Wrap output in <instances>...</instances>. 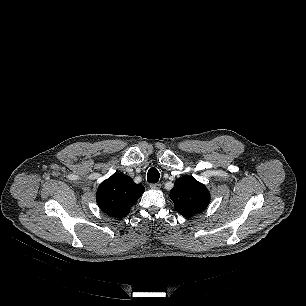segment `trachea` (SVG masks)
Segmentation results:
<instances>
[{
  "mask_svg": "<svg viewBox=\"0 0 306 306\" xmlns=\"http://www.w3.org/2000/svg\"><path fill=\"white\" fill-rule=\"evenodd\" d=\"M160 174L156 168H150L147 174V180L149 183H157L159 181Z\"/></svg>",
  "mask_w": 306,
  "mask_h": 306,
  "instance_id": "3493384b",
  "label": "trachea"
}]
</instances>
